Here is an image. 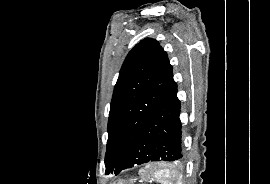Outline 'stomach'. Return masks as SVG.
<instances>
[{"label":"stomach","mask_w":270,"mask_h":184,"mask_svg":"<svg viewBox=\"0 0 270 184\" xmlns=\"http://www.w3.org/2000/svg\"><path fill=\"white\" fill-rule=\"evenodd\" d=\"M113 184H134L133 180H118L116 182H114Z\"/></svg>","instance_id":"1"}]
</instances>
